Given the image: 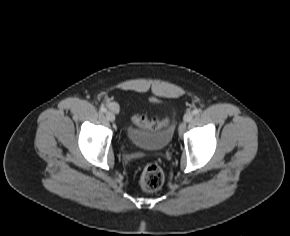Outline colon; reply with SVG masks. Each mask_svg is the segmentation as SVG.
<instances>
[{
	"mask_svg": "<svg viewBox=\"0 0 290 236\" xmlns=\"http://www.w3.org/2000/svg\"><path fill=\"white\" fill-rule=\"evenodd\" d=\"M170 119L168 117L148 118L146 115L137 114L133 118V123L143 129L152 131L160 130L169 124ZM165 176L161 167L155 163L147 164L140 175V185L148 192L156 191L164 184Z\"/></svg>",
	"mask_w": 290,
	"mask_h": 236,
	"instance_id": "colon-1",
	"label": "colon"
}]
</instances>
